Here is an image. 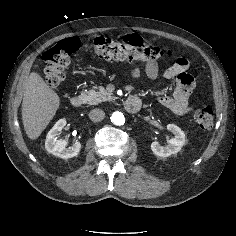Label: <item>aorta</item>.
I'll return each instance as SVG.
<instances>
[{
    "label": "aorta",
    "instance_id": "1",
    "mask_svg": "<svg viewBox=\"0 0 236 236\" xmlns=\"http://www.w3.org/2000/svg\"><path fill=\"white\" fill-rule=\"evenodd\" d=\"M111 121L115 125L121 126L125 123V117H124L123 113H121V112H114L111 116Z\"/></svg>",
    "mask_w": 236,
    "mask_h": 236
}]
</instances>
